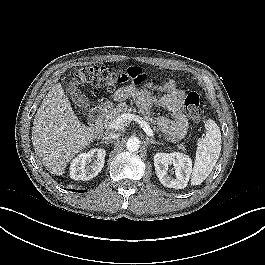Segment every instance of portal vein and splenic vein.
Returning a JSON list of instances; mask_svg holds the SVG:
<instances>
[{"mask_svg": "<svg viewBox=\"0 0 265 265\" xmlns=\"http://www.w3.org/2000/svg\"><path fill=\"white\" fill-rule=\"evenodd\" d=\"M132 120L138 122L148 136L154 137L153 130L150 128L149 124L140 116L132 113H124L120 115L115 121L111 123V127L115 130H119Z\"/></svg>", "mask_w": 265, "mask_h": 265, "instance_id": "18ae733b", "label": "portal vein and splenic vein"}]
</instances>
